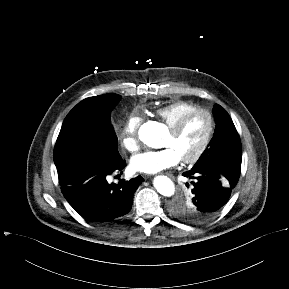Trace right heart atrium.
Returning <instances> with one entry per match:
<instances>
[{"mask_svg": "<svg viewBox=\"0 0 289 289\" xmlns=\"http://www.w3.org/2000/svg\"><path fill=\"white\" fill-rule=\"evenodd\" d=\"M142 118L137 113H132L126 119L121 131V144L129 152L139 150V141L137 137L138 129Z\"/></svg>", "mask_w": 289, "mask_h": 289, "instance_id": "d8ad5b80", "label": "right heart atrium"}]
</instances>
